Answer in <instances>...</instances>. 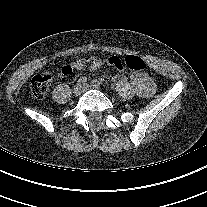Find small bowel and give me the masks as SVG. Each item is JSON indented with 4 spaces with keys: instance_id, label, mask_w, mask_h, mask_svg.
I'll return each mask as SVG.
<instances>
[{
    "instance_id": "obj_1",
    "label": "small bowel",
    "mask_w": 207,
    "mask_h": 207,
    "mask_svg": "<svg viewBox=\"0 0 207 207\" xmlns=\"http://www.w3.org/2000/svg\"><path fill=\"white\" fill-rule=\"evenodd\" d=\"M108 63L112 65L113 67L117 69H122V61L119 57L112 56L108 59H92L88 63H85L83 61H76L74 63V67L77 70H96L100 68L103 64ZM69 72L65 71H60L59 76L64 77ZM118 79L123 83V84H133L136 87L137 93L142 96V97H149L152 95V93L155 90V83L152 78H150L146 74H134L131 76L130 82L126 81L121 76H118Z\"/></svg>"
}]
</instances>
